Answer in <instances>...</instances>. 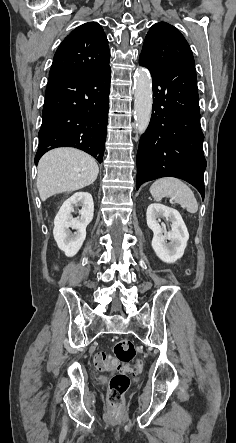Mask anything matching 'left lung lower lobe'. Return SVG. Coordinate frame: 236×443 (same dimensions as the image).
Masks as SVG:
<instances>
[{"mask_svg": "<svg viewBox=\"0 0 236 443\" xmlns=\"http://www.w3.org/2000/svg\"><path fill=\"white\" fill-rule=\"evenodd\" d=\"M153 80L150 124L137 153L136 188L160 177L192 184L204 199V135L200 126L196 70L189 65L151 64L141 56Z\"/></svg>", "mask_w": 236, "mask_h": 443, "instance_id": "0a47b994", "label": "left lung lower lobe"}]
</instances>
